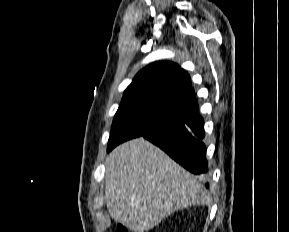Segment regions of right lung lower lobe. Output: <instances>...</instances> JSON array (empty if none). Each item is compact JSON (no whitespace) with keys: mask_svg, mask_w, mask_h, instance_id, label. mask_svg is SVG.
Instances as JSON below:
<instances>
[{"mask_svg":"<svg viewBox=\"0 0 289 232\" xmlns=\"http://www.w3.org/2000/svg\"><path fill=\"white\" fill-rule=\"evenodd\" d=\"M142 136L160 147L190 172L194 174L208 172L205 144L202 142L204 121L197 109L185 112L178 119Z\"/></svg>","mask_w":289,"mask_h":232,"instance_id":"98d812e1","label":"right lung lower lobe"}]
</instances>
